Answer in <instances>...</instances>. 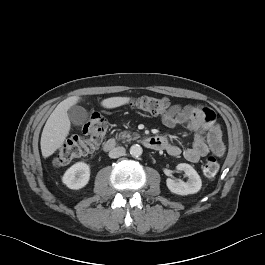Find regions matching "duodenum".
<instances>
[{"label":"duodenum","instance_id":"410a0bca","mask_svg":"<svg viewBox=\"0 0 265 265\" xmlns=\"http://www.w3.org/2000/svg\"><path fill=\"white\" fill-rule=\"evenodd\" d=\"M146 147L154 150H160L165 147V141L162 137L154 136L148 137L143 140ZM116 147V141L114 139H109L105 142L103 149L106 152L112 151Z\"/></svg>","mask_w":265,"mask_h":265}]
</instances>
